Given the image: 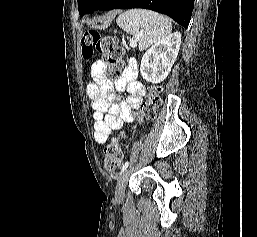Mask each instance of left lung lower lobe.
Returning <instances> with one entry per match:
<instances>
[{
  "label": "left lung lower lobe",
  "mask_w": 257,
  "mask_h": 237,
  "mask_svg": "<svg viewBox=\"0 0 257 237\" xmlns=\"http://www.w3.org/2000/svg\"><path fill=\"white\" fill-rule=\"evenodd\" d=\"M194 0H110L101 10L145 8L171 17L187 28L191 19Z\"/></svg>",
  "instance_id": "left-lung-lower-lobe-1"
}]
</instances>
